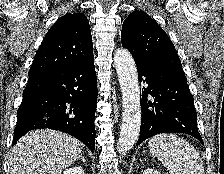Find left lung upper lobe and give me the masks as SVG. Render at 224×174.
Masks as SVG:
<instances>
[{
    "instance_id": "obj_1",
    "label": "left lung upper lobe",
    "mask_w": 224,
    "mask_h": 174,
    "mask_svg": "<svg viewBox=\"0 0 224 174\" xmlns=\"http://www.w3.org/2000/svg\"><path fill=\"white\" fill-rule=\"evenodd\" d=\"M121 41L136 65L185 75L170 38L145 12L135 10L124 20Z\"/></svg>"
}]
</instances>
